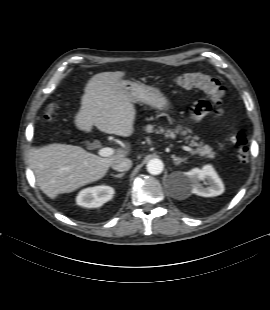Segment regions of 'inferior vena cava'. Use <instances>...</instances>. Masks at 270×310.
Listing matches in <instances>:
<instances>
[{"mask_svg":"<svg viewBox=\"0 0 270 310\" xmlns=\"http://www.w3.org/2000/svg\"><path fill=\"white\" fill-rule=\"evenodd\" d=\"M132 161L128 158H120L112 163V168L116 171L123 172L131 168Z\"/></svg>","mask_w":270,"mask_h":310,"instance_id":"inferior-vena-cava-1","label":"inferior vena cava"}]
</instances>
